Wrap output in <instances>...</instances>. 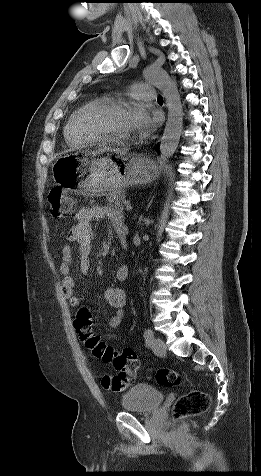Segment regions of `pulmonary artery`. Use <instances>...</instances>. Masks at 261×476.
<instances>
[{
	"label": "pulmonary artery",
	"mask_w": 261,
	"mask_h": 476,
	"mask_svg": "<svg viewBox=\"0 0 261 476\" xmlns=\"http://www.w3.org/2000/svg\"><path fill=\"white\" fill-rule=\"evenodd\" d=\"M131 95L140 100H154L156 98L154 88L151 84L137 82L131 87Z\"/></svg>",
	"instance_id": "obj_1"
}]
</instances>
